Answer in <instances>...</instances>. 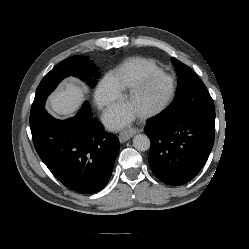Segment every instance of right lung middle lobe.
Returning <instances> with one entry per match:
<instances>
[{"label":"right lung middle lobe","mask_w":249,"mask_h":249,"mask_svg":"<svg viewBox=\"0 0 249 249\" xmlns=\"http://www.w3.org/2000/svg\"><path fill=\"white\" fill-rule=\"evenodd\" d=\"M97 68L87 56H72L55 66L41 80L37 87L35 99L31 107L30 122L34 121L44 109L47 96L55 89L58 83L68 76H76L83 81H89L91 87L97 83L92 77L99 74Z\"/></svg>","instance_id":"obj_1"}]
</instances>
